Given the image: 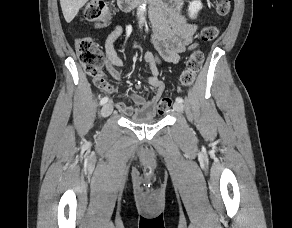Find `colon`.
<instances>
[{
	"instance_id": "5ec220e1",
	"label": "colon",
	"mask_w": 292,
	"mask_h": 228,
	"mask_svg": "<svg viewBox=\"0 0 292 228\" xmlns=\"http://www.w3.org/2000/svg\"><path fill=\"white\" fill-rule=\"evenodd\" d=\"M230 0H215V9L219 16H226L230 12ZM86 20L95 22L103 18V22H107L110 18L106 14L105 3L102 0H92L88 3L84 11ZM218 35V28L215 26H205L199 33L200 40L204 42L215 39ZM75 50L79 61L84 70L94 78L97 86H101L104 82L102 68L105 64V56L94 39L90 37L79 38L75 43ZM204 63V54L196 48L188 57L186 69L181 75V83L184 86H190L200 72ZM172 101L168 97H164L158 104L159 113H164L170 109Z\"/></svg>"
}]
</instances>
